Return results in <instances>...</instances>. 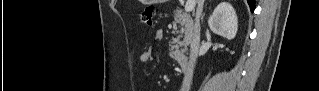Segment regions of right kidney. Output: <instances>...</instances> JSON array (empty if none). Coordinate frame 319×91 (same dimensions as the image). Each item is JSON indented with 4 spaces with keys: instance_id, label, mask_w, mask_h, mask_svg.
Instances as JSON below:
<instances>
[{
    "instance_id": "1",
    "label": "right kidney",
    "mask_w": 319,
    "mask_h": 91,
    "mask_svg": "<svg viewBox=\"0 0 319 91\" xmlns=\"http://www.w3.org/2000/svg\"><path fill=\"white\" fill-rule=\"evenodd\" d=\"M211 31L229 40L236 36L238 20L234 8L227 2H221L208 20Z\"/></svg>"
}]
</instances>
